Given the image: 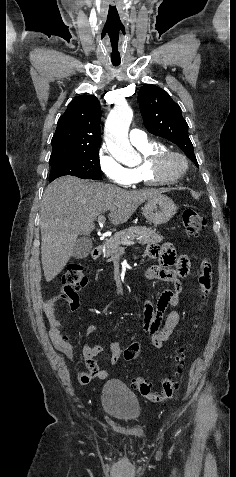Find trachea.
Returning a JSON list of instances; mask_svg holds the SVG:
<instances>
[{
	"label": "trachea",
	"instance_id": "trachea-1",
	"mask_svg": "<svg viewBox=\"0 0 236 477\" xmlns=\"http://www.w3.org/2000/svg\"><path fill=\"white\" fill-rule=\"evenodd\" d=\"M120 63H113V66H118Z\"/></svg>",
	"mask_w": 236,
	"mask_h": 477
}]
</instances>
